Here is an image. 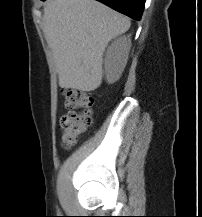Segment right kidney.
<instances>
[{
  "label": "right kidney",
  "instance_id": "obj_1",
  "mask_svg": "<svg viewBox=\"0 0 202 217\" xmlns=\"http://www.w3.org/2000/svg\"><path fill=\"white\" fill-rule=\"evenodd\" d=\"M130 48V35L115 39L108 47L104 60L105 75L108 83H114L121 77L127 64Z\"/></svg>",
  "mask_w": 202,
  "mask_h": 217
}]
</instances>
